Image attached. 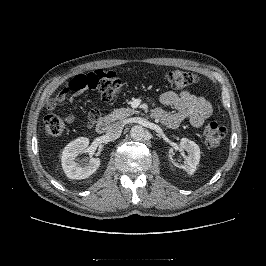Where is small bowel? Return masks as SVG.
<instances>
[{
    "label": "small bowel",
    "instance_id": "c3829d8e",
    "mask_svg": "<svg viewBox=\"0 0 266 266\" xmlns=\"http://www.w3.org/2000/svg\"><path fill=\"white\" fill-rule=\"evenodd\" d=\"M79 93V91H71L69 94L73 95L70 100ZM160 103L164 107L176 109L175 113L157 109L163 113V117L160 119L162 124L172 129L177 128L185 120H188L193 127H200L213 112L212 105L208 100L196 96L189 90H183L180 93L167 91L161 95ZM91 115L90 112V119H92ZM68 119L71 121L73 117L69 116Z\"/></svg>",
    "mask_w": 266,
    "mask_h": 266
}]
</instances>
